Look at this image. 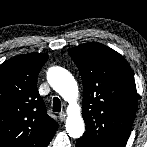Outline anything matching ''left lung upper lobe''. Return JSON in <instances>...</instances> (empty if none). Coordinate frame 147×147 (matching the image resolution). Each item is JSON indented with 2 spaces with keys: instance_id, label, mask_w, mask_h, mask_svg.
<instances>
[{
  "instance_id": "left-lung-upper-lobe-1",
  "label": "left lung upper lobe",
  "mask_w": 147,
  "mask_h": 147,
  "mask_svg": "<svg viewBox=\"0 0 147 147\" xmlns=\"http://www.w3.org/2000/svg\"><path fill=\"white\" fill-rule=\"evenodd\" d=\"M83 82L82 116L86 124L78 140L88 147H125L137 110V91L127 61L98 43L68 51Z\"/></svg>"
}]
</instances>
